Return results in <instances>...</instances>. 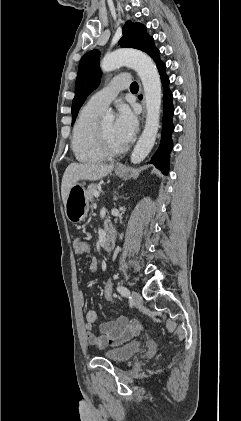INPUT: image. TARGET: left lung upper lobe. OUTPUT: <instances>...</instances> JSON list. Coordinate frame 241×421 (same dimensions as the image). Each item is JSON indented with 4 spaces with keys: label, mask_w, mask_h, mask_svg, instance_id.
Segmentation results:
<instances>
[{
    "label": "left lung upper lobe",
    "mask_w": 241,
    "mask_h": 421,
    "mask_svg": "<svg viewBox=\"0 0 241 421\" xmlns=\"http://www.w3.org/2000/svg\"><path fill=\"white\" fill-rule=\"evenodd\" d=\"M151 39L152 37L146 33L144 25L128 21L123 27V37L118 44L121 47H130L143 51ZM99 56L100 52L94 49L86 53L80 60L75 85V97L72 103V125L85 99L100 82Z\"/></svg>",
    "instance_id": "left-lung-upper-lobe-1"
}]
</instances>
